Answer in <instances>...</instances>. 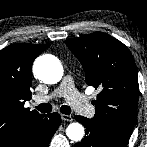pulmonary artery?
<instances>
[{"instance_id": "obj_1", "label": "pulmonary artery", "mask_w": 147, "mask_h": 147, "mask_svg": "<svg viewBox=\"0 0 147 147\" xmlns=\"http://www.w3.org/2000/svg\"><path fill=\"white\" fill-rule=\"evenodd\" d=\"M55 97H63L65 100L82 115L91 117L95 110L94 107L88 102L75 88L73 78L67 75L63 78L60 85L49 95H38L34 98L37 104L45 103Z\"/></svg>"}]
</instances>
